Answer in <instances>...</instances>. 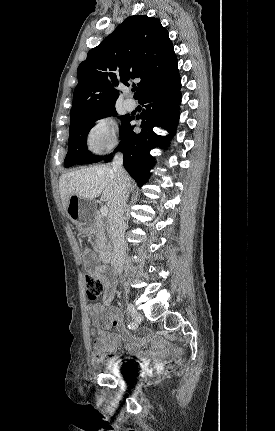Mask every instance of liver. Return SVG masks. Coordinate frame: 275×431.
<instances>
[{"mask_svg": "<svg viewBox=\"0 0 275 431\" xmlns=\"http://www.w3.org/2000/svg\"><path fill=\"white\" fill-rule=\"evenodd\" d=\"M115 189V175L109 165H97L64 173L59 179V192L64 210L67 209L72 195L93 200L102 194L101 200L107 202L110 207Z\"/></svg>", "mask_w": 275, "mask_h": 431, "instance_id": "liver-1", "label": "liver"}]
</instances>
